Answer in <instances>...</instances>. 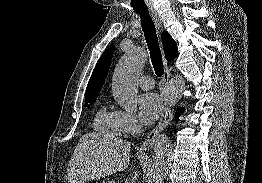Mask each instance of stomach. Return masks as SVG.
Here are the masks:
<instances>
[{"label":"stomach","mask_w":262,"mask_h":183,"mask_svg":"<svg viewBox=\"0 0 262 183\" xmlns=\"http://www.w3.org/2000/svg\"><path fill=\"white\" fill-rule=\"evenodd\" d=\"M114 181H103L102 183H112Z\"/></svg>","instance_id":"obj_1"}]
</instances>
